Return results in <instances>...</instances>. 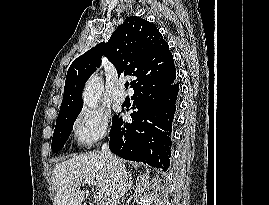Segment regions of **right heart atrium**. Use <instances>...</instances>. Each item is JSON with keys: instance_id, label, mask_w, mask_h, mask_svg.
I'll list each match as a JSON object with an SVG mask.
<instances>
[{"instance_id": "d8ad5b80", "label": "right heart atrium", "mask_w": 269, "mask_h": 205, "mask_svg": "<svg viewBox=\"0 0 269 205\" xmlns=\"http://www.w3.org/2000/svg\"><path fill=\"white\" fill-rule=\"evenodd\" d=\"M72 134L79 145L90 147L109 136L110 116L98 108H84L73 120Z\"/></svg>"}]
</instances>
